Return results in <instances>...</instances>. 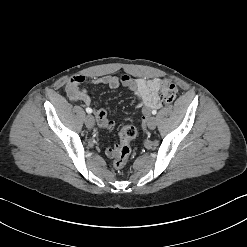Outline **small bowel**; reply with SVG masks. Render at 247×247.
Listing matches in <instances>:
<instances>
[{"label": "small bowel", "mask_w": 247, "mask_h": 247, "mask_svg": "<svg viewBox=\"0 0 247 247\" xmlns=\"http://www.w3.org/2000/svg\"><path fill=\"white\" fill-rule=\"evenodd\" d=\"M86 82L93 85H104L112 89L124 86L132 91L136 97L137 106L142 110L143 126L147 122L149 111L161 106L160 91L162 80L160 79L133 78L128 75L121 77L105 75L99 78L87 79L85 76L77 75L72 77L66 85V94L71 101H80L86 105L91 103V97L83 88V84ZM95 116L100 127L105 129L114 127L115 124L108 119L105 109H97ZM114 147L106 149V154L110 158L114 157Z\"/></svg>", "instance_id": "1"}]
</instances>
